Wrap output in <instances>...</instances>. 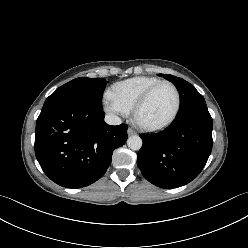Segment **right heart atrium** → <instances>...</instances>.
Masks as SVG:
<instances>
[{
    "mask_svg": "<svg viewBox=\"0 0 248 248\" xmlns=\"http://www.w3.org/2000/svg\"><path fill=\"white\" fill-rule=\"evenodd\" d=\"M104 108L107 112L116 115H126L128 110L116 101L111 94H106L103 99Z\"/></svg>",
    "mask_w": 248,
    "mask_h": 248,
    "instance_id": "1",
    "label": "right heart atrium"
}]
</instances>
